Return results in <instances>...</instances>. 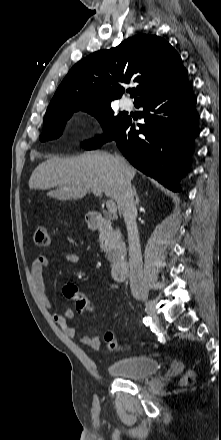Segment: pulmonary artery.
I'll return each mask as SVG.
<instances>
[{
  "label": "pulmonary artery",
  "instance_id": "1",
  "mask_svg": "<svg viewBox=\"0 0 221 440\" xmlns=\"http://www.w3.org/2000/svg\"><path fill=\"white\" fill-rule=\"evenodd\" d=\"M120 107L123 110H130L132 108V102L130 99L124 98L120 101Z\"/></svg>",
  "mask_w": 221,
  "mask_h": 440
}]
</instances>
